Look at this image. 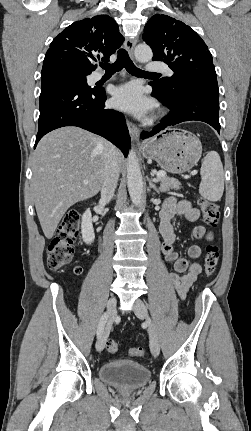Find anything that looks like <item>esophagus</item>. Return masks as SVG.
Returning <instances> with one entry per match:
<instances>
[{"mask_svg":"<svg viewBox=\"0 0 251 431\" xmlns=\"http://www.w3.org/2000/svg\"><path fill=\"white\" fill-rule=\"evenodd\" d=\"M136 43H137V38H134V39L128 38L125 41V48L131 57H133L134 55V48ZM127 127L132 140L137 141L139 139V134H140L138 127L130 121H127Z\"/></svg>","mask_w":251,"mask_h":431,"instance_id":"esophagus-1","label":"esophagus"}]
</instances>
